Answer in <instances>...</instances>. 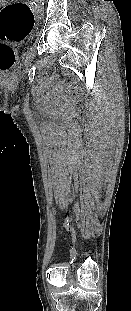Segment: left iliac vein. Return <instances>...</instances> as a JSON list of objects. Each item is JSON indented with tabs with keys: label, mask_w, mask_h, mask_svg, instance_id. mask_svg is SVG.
I'll return each instance as SVG.
<instances>
[{
	"label": "left iliac vein",
	"mask_w": 131,
	"mask_h": 311,
	"mask_svg": "<svg viewBox=\"0 0 131 311\" xmlns=\"http://www.w3.org/2000/svg\"><path fill=\"white\" fill-rule=\"evenodd\" d=\"M38 2L40 3L41 1L38 0ZM38 11H39V13L42 11V6H41V4L38 5Z\"/></svg>",
	"instance_id": "obj_1"
}]
</instances>
